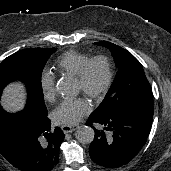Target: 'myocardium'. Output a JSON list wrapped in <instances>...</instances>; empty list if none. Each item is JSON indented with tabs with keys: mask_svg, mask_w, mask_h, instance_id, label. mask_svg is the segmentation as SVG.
Segmentation results:
<instances>
[{
	"mask_svg": "<svg viewBox=\"0 0 171 171\" xmlns=\"http://www.w3.org/2000/svg\"><path fill=\"white\" fill-rule=\"evenodd\" d=\"M96 63H102L105 67V80L102 86L96 90L89 87V76L91 68ZM76 80L81 85V92L90 97L91 99H99L103 97L110 89L113 81V68L111 61L104 55H99L90 58L82 67L79 74L76 76Z\"/></svg>",
	"mask_w": 171,
	"mask_h": 171,
	"instance_id": "myocardium-1",
	"label": "myocardium"
}]
</instances>
